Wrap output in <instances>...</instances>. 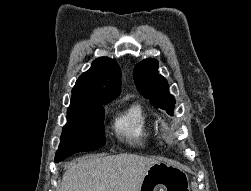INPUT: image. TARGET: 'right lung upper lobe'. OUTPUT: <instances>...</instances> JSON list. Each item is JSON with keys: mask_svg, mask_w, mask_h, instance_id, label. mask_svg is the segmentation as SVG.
<instances>
[{"mask_svg": "<svg viewBox=\"0 0 251 191\" xmlns=\"http://www.w3.org/2000/svg\"><path fill=\"white\" fill-rule=\"evenodd\" d=\"M120 87L121 72L117 62L108 57L97 58L73 87L68 111L107 104L119 95Z\"/></svg>", "mask_w": 251, "mask_h": 191, "instance_id": "right-lung-upper-lobe-1", "label": "right lung upper lobe"}]
</instances>
